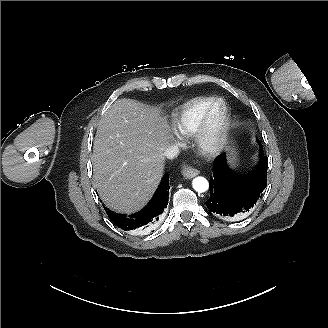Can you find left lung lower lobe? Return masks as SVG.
<instances>
[{
	"instance_id": "0a47b994",
	"label": "left lung lower lobe",
	"mask_w": 328,
	"mask_h": 328,
	"mask_svg": "<svg viewBox=\"0 0 328 328\" xmlns=\"http://www.w3.org/2000/svg\"><path fill=\"white\" fill-rule=\"evenodd\" d=\"M267 169L268 158L264 156L261 144L257 165L245 174L234 172L227 163L226 155L220 154L214 160L207 208L224 219L246 215L267 185Z\"/></svg>"
}]
</instances>
